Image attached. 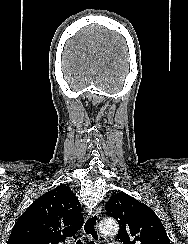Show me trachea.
Masks as SVG:
<instances>
[{
    "label": "trachea",
    "mask_w": 188,
    "mask_h": 244,
    "mask_svg": "<svg viewBox=\"0 0 188 244\" xmlns=\"http://www.w3.org/2000/svg\"><path fill=\"white\" fill-rule=\"evenodd\" d=\"M77 244H83V243H82V241H78ZM87 244H94V242H93V241H90V242L87 243Z\"/></svg>",
    "instance_id": "3493384b"
}]
</instances>
